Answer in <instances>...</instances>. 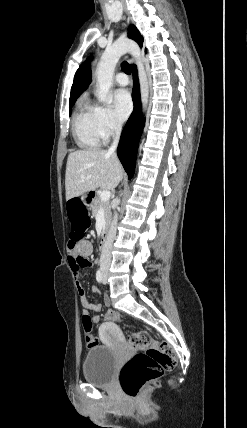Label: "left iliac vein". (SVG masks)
<instances>
[{
    "label": "left iliac vein",
    "mask_w": 247,
    "mask_h": 428,
    "mask_svg": "<svg viewBox=\"0 0 247 428\" xmlns=\"http://www.w3.org/2000/svg\"><path fill=\"white\" fill-rule=\"evenodd\" d=\"M103 283H106V275L103 277Z\"/></svg>",
    "instance_id": "obj_1"
}]
</instances>
